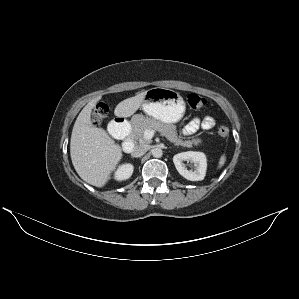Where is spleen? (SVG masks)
I'll use <instances>...</instances> for the list:
<instances>
[{
	"label": "spleen",
	"instance_id": "spleen-1",
	"mask_svg": "<svg viewBox=\"0 0 299 299\" xmlns=\"http://www.w3.org/2000/svg\"><path fill=\"white\" fill-rule=\"evenodd\" d=\"M226 155L225 154H222L219 158V161H218V166H217V169H221L225 163H226Z\"/></svg>",
	"mask_w": 299,
	"mask_h": 299
}]
</instances>
